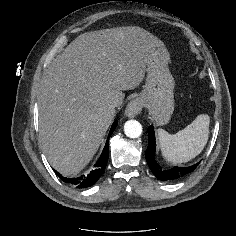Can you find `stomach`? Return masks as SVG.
<instances>
[{"label":"stomach","mask_w":236,"mask_h":236,"mask_svg":"<svg viewBox=\"0 0 236 236\" xmlns=\"http://www.w3.org/2000/svg\"><path fill=\"white\" fill-rule=\"evenodd\" d=\"M162 54L152 57L146 67V81L138 99L158 125L169 122L174 110V78Z\"/></svg>","instance_id":"stomach-1"}]
</instances>
